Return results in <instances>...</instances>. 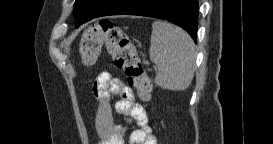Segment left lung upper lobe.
Here are the masks:
<instances>
[{
  "label": "left lung upper lobe",
  "instance_id": "obj_1",
  "mask_svg": "<svg viewBox=\"0 0 273 144\" xmlns=\"http://www.w3.org/2000/svg\"><path fill=\"white\" fill-rule=\"evenodd\" d=\"M95 1L96 0H76L74 4V13L78 11L79 9L83 8L86 2H88V5H93Z\"/></svg>",
  "mask_w": 273,
  "mask_h": 144
}]
</instances>
